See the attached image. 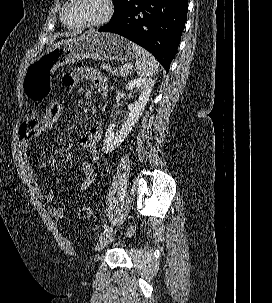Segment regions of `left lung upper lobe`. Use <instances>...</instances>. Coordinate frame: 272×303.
Instances as JSON below:
<instances>
[{
	"instance_id": "obj_1",
	"label": "left lung upper lobe",
	"mask_w": 272,
	"mask_h": 303,
	"mask_svg": "<svg viewBox=\"0 0 272 303\" xmlns=\"http://www.w3.org/2000/svg\"><path fill=\"white\" fill-rule=\"evenodd\" d=\"M138 0H114L116 10L112 19L122 16L129 8H131ZM111 19V20H112Z\"/></svg>"
}]
</instances>
